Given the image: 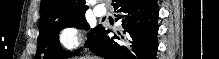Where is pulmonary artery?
<instances>
[{
	"mask_svg": "<svg viewBox=\"0 0 219 59\" xmlns=\"http://www.w3.org/2000/svg\"><path fill=\"white\" fill-rule=\"evenodd\" d=\"M93 10H94V13L100 17L104 16L106 14V8L103 6L96 5V6H94Z\"/></svg>",
	"mask_w": 219,
	"mask_h": 59,
	"instance_id": "1",
	"label": "pulmonary artery"
}]
</instances>
